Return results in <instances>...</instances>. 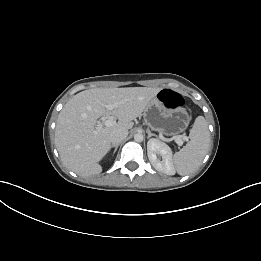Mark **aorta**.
Segmentation results:
<instances>
[{"label":"aorta","mask_w":261,"mask_h":261,"mask_svg":"<svg viewBox=\"0 0 261 261\" xmlns=\"http://www.w3.org/2000/svg\"><path fill=\"white\" fill-rule=\"evenodd\" d=\"M143 135L141 134V133H137V134H135L134 135V140L136 141V142H142L143 141Z\"/></svg>","instance_id":"762f6f07"}]
</instances>
